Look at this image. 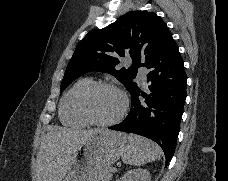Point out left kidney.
I'll return each mask as SVG.
<instances>
[{
	"instance_id": "5707ae66",
	"label": "left kidney",
	"mask_w": 228,
	"mask_h": 181,
	"mask_svg": "<svg viewBox=\"0 0 228 181\" xmlns=\"http://www.w3.org/2000/svg\"><path fill=\"white\" fill-rule=\"evenodd\" d=\"M121 181H151V177L147 169H132L121 177Z\"/></svg>"
}]
</instances>
